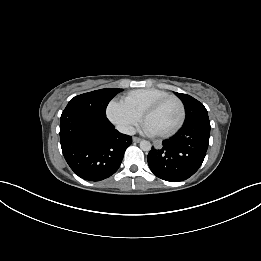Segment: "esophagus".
<instances>
[{
  "label": "esophagus",
  "instance_id": "obj_1",
  "mask_svg": "<svg viewBox=\"0 0 261 261\" xmlns=\"http://www.w3.org/2000/svg\"><path fill=\"white\" fill-rule=\"evenodd\" d=\"M132 140L133 142L139 143L142 139L139 137H133Z\"/></svg>",
  "mask_w": 261,
  "mask_h": 261
}]
</instances>
